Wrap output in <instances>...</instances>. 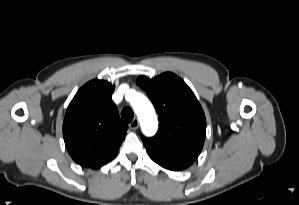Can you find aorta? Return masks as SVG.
Here are the masks:
<instances>
[{"label":"aorta","mask_w":299,"mask_h":205,"mask_svg":"<svg viewBox=\"0 0 299 205\" xmlns=\"http://www.w3.org/2000/svg\"><path fill=\"white\" fill-rule=\"evenodd\" d=\"M131 104L139 118L143 133L147 136L154 135L158 128V122L150 101L144 95L135 93L131 99Z\"/></svg>","instance_id":"1"}]
</instances>
